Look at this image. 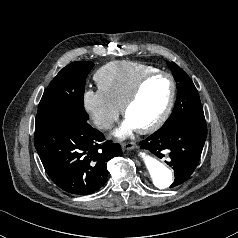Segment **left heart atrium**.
Masks as SVG:
<instances>
[{"label": "left heart atrium", "mask_w": 238, "mask_h": 238, "mask_svg": "<svg viewBox=\"0 0 238 238\" xmlns=\"http://www.w3.org/2000/svg\"><path fill=\"white\" fill-rule=\"evenodd\" d=\"M136 129V126L129 120L125 119L120 127L115 130L114 135L118 138H123Z\"/></svg>", "instance_id": "obj_1"}]
</instances>
